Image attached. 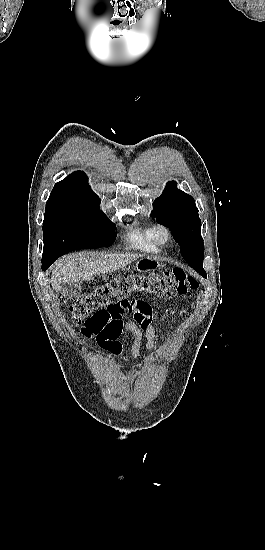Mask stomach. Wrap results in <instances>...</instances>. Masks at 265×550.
<instances>
[{
  "label": "stomach",
  "mask_w": 265,
  "mask_h": 550,
  "mask_svg": "<svg viewBox=\"0 0 265 550\" xmlns=\"http://www.w3.org/2000/svg\"><path fill=\"white\" fill-rule=\"evenodd\" d=\"M160 262L156 258L145 257L138 260L135 264V270L139 272H148L159 268Z\"/></svg>",
  "instance_id": "1"
}]
</instances>
